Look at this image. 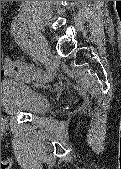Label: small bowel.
Listing matches in <instances>:
<instances>
[{
	"label": "small bowel",
	"instance_id": "c3829d8e",
	"mask_svg": "<svg viewBox=\"0 0 121 169\" xmlns=\"http://www.w3.org/2000/svg\"><path fill=\"white\" fill-rule=\"evenodd\" d=\"M51 72L52 74H54V69L52 67H51ZM1 75L10 76V77H14V78L22 79V80H29L33 76V69L30 65L26 63H23L18 60H13L7 57V58H4L2 61Z\"/></svg>",
	"mask_w": 121,
	"mask_h": 169
}]
</instances>
